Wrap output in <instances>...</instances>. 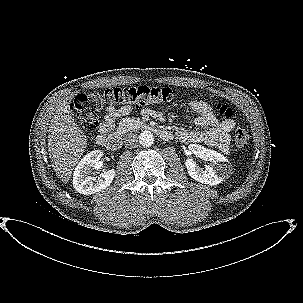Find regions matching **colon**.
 I'll use <instances>...</instances> for the list:
<instances>
[{"mask_svg":"<svg viewBox=\"0 0 303 303\" xmlns=\"http://www.w3.org/2000/svg\"><path fill=\"white\" fill-rule=\"evenodd\" d=\"M174 97V90L169 87L153 85H138L131 87H115L93 93L79 94L71 103V115L89 133L97 130L99 117L103 111L118 105L143 108L153 104L168 102ZM216 110L219 115L229 118L232 111L223 104H218ZM235 145L244 150L249 144L250 134L237 127L233 132Z\"/></svg>","mask_w":303,"mask_h":303,"instance_id":"obj_1","label":"colon"}]
</instances>
